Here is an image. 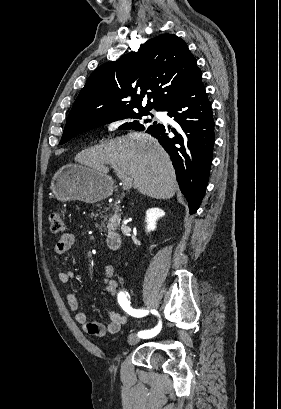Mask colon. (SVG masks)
<instances>
[{"instance_id":"1","label":"colon","mask_w":281,"mask_h":409,"mask_svg":"<svg viewBox=\"0 0 281 409\" xmlns=\"http://www.w3.org/2000/svg\"><path fill=\"white\" fill-rule=\"evenodd\" d=\"M49 220L51 224V229L54 233L58 235L65 234L67 232V222L63 214L58 210L49 211Z\"/></svg>"}]
</instances>
